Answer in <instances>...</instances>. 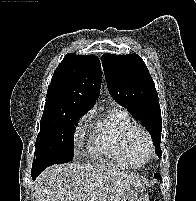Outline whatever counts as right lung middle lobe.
I'll return each instance as SVG.
<instances>
[{"instance_id": "dd1d6c3e", "label": "right lung middle lobe", "mask_w": 196, "mask_h": 201, "mask_svg": "<svg viewBox=\"0 0 196 201\" xmlns=\"http://www.w3.org/2000/svg\"><path fill=\"white\" fill-rule=\"evenodd\" d=\"M85 113L83 110H71L60 115L42 116L32 171L40 173L50 165L73 159L75 126Z\"/></svg>"}]
</instances>
